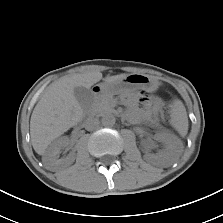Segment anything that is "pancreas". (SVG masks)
Masks as SVG:
<instances>
[{
	"label": "pancreas",
	"instance_id": "obj_1",
	"mask_svg": "<svg viewBox=\"0 0 223 223\" xmlns=\"http://www.w3.org/2000/svg\"><path fill=\"white\" fill-rule=\"evenodd\" d=\"M112 101H113L112 96H105L100 100H95L90 105L91 108L90 111L94 114H103L106 112H110L113 110Z\"/></svg>",
	"mask_w": 223,
	"mask_h": 223
}]
</instances>
